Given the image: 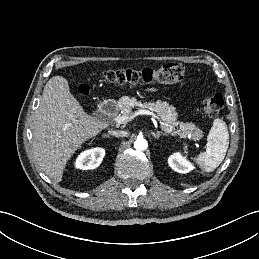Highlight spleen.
<instances>
[{"label": "spleen", "instance_id": "obj_1", "mask_svg": "<svg viewBox=\"0 0 259 259\" xmlns=\"http://www.w3.org/2000/svg\"><path fill=\"white\" fill-rule=\"evenodd\" d=\"M229 145V133L226 123L221 118L213 121L207 137L206 151L194 158L203 172L214 171L225 158Z\"/></svg>", "mask_w": 259, "mask_h": 259}]
</instances>
